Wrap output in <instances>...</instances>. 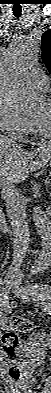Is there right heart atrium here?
Masks as SVG:
<instances>
[{"mask_svg":"<svg viewBox=\"0 0 51 393\" xmlns=\"http://www.w3.org/2000/svg\"><path fill=\"white\" fill-rule=\"evenodd\" d=\"M0 128L7 135L26 137L32 132L33 121L21 115L4 98H0Z\"/></svg>","mask_w":51,"mask_h":393,"instance_id":"obj_1","label":"right heart atrium"}]
</instances>
